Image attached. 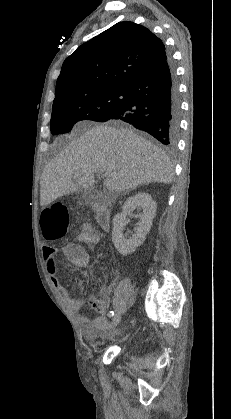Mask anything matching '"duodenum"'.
Instances as JSON below:
<instances>
[{"label":"duodenum","instance_id":"duodenum-1","mask_svg":"<svg viewBox=\"0 0 231 419\" xmlns=\"http://www.w3.org/2000/svg\"><path fill=\"white\" fill-rule=\"evenodd\" d=\"M95 215H96V221L101 228L106 229L109 227L110 212H109V209L105 205H102V204L97 205Z\"/></svg>","mask_w":231,"mask_h":419}]
</instances>
